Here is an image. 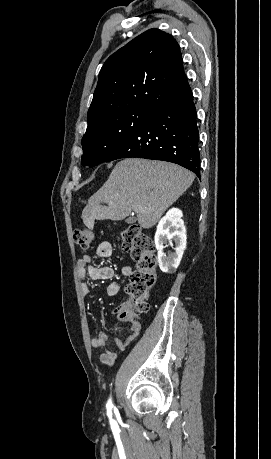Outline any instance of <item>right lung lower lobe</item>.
I'll return each instance as SVG.
<instances>
[{
  "label": "right lung lower lobe",
  "instance_id": "98d812e1",
  "mask_svg": "<svg viewBox=\"0 0 271 459\" xmlns=\"http://www.w3.org/2000/svg\"><path fill=\"white\" fill-rule=\"evenodd\" d=\"M197 113L189 84L163 102L106 160L146 158L179 164L200 178Z\"/></svg>",
  "mask_w": 271,
  "mask_h": 459
}]
</instances>
